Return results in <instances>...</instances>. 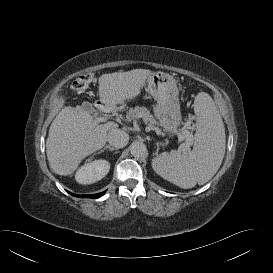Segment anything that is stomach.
Returning a JSON list of instances; mask_svg holds the SVG:
<instances>
[{
	"label": "stomach",
	"mask_w": 273,
	"mask_h": 273,
	"mask_svg": "<svg viewBox=\"0 0 273 273\" xmlns=\"http://www.w3.org/2000/svg\"><path fill=\"white\" fill-rule=\"evenodd\" d=\"M147 92L156 100L155 117L164 131L173 135L181 123L179 90L176 80L168 73L153 72L146 80Z\"/></svg>",
	"instance_id": "0dacf381"
}]
</instances>
